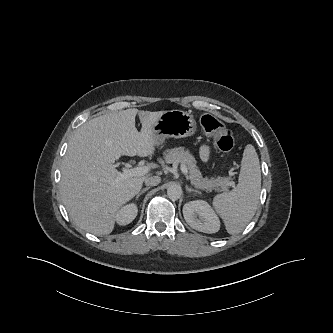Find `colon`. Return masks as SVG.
I'll return each instance as SVG.
<instances>
[{
    "mask_svg": "<svg viewBox=\"0 0 333 333\" xmlns=\"http://www.w3.org/2000/svg\"><path fill=\"white\" fill-rule=\"evenodd\" d=\"M201 125L205 132L214 137L215 144L219 150L229 153L234 147V137L231 130L226 128L214 116L205 114L201 117Z\"/></svg>",
    "mask_w": 333,
    "mask_h": 333,
    "instance_id": "obj_1",
    "label": "colon"
}]
</instances>
